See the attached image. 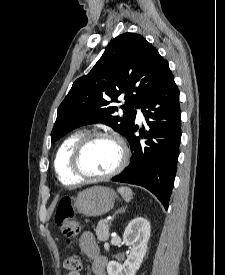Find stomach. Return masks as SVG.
<instances>
[{
	"label": "stomach",
	"instance_id": "0dacf381",
	"mask_svg": "<svg viewBox=\"0 0 225 275\" xmlns=\"http://www.w3.org/2000/svg\"><path fill=\"white\" fill-rule=\"evenodd\" d=\"M115 198L114 190L103 186H93L77 195L74 207L77 212L87 217L102 216L113 208Z\"/></svg>",
	"mask_w": 225,
	"mask_h": 275
}]
</instances>
